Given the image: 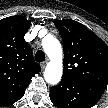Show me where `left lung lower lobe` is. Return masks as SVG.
I'll return each mask as SVG.
<instances>
[{
    "label": "left lung lower lobe",
    "mask_w": 108,
    "mask_h": 108,
    "mask_svg": "<svg viewBox=\"0 0 108 108\" xmlns=\"http://www.w3.org/2000/svg\"><path fill=\"white\" fill-rule=\"evenodd\" d=\"M106 86L63 79L50 89V100L57 108H90L101 97Z\"/></svg>",
    "instance_id": "left-lung-lower-lobe-1"
}]
</instances>
